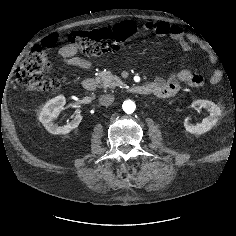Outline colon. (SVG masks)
<instances>
[{
    "label": "colon",
    "instance_id": "colon-1",
    "mask_svg": "<svg viewBox=\"0 0 236 236\" xmlns=\"http://www.w3.org/2000/svg\"><path fill=\"white\" fill-rule=\"evenodd\" d=\"M136 25L131 21L121 22L113 27H102L67 34V41L87 55H100L119 49L135 32ZM59 36L51 34L44 38L42 45L34 47L21 62L17 71V82L29 91L43 92L59 86L54 77L52 63L47 49L53 48Z\"/></svg>",
    "mask_w": 236,
    "mask_h": 236
}]
</instances>
